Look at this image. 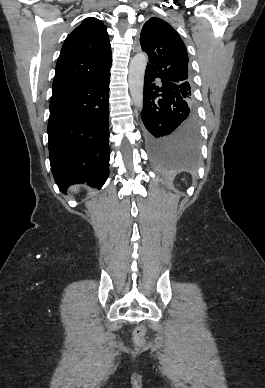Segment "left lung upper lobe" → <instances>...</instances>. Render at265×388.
<instances>
[{"label": "left lung upper lobe", "mask_w": 265, "mask_h": 388, "mask_svg": "<svg viewBox=\"0 0 265 388\" xmlns=\"http://www.w3.org/2000/svg\"><path fill=\"white\" fill-rule=\"evenodd\" d=\"M140 44L149 57L146 71L179 85L184 101L194 107L188 54L179 34L164 20L153 17L142 28Z\"/></svg>", "instance_id": "left-lung-upper-lobe-1"}]
</instances>
